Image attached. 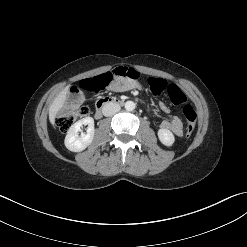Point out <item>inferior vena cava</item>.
<instances>
[{"instance_id":"inferior-vena-cava-1","label":"inferior vena cava","mask_w":247,"mask_h":247,"mask_svg":"<svg viewBox=\"0 0 247 247\" xmlns=\"http://www.w3.org/2000/svg\"><path fill=\"white\" fill-rule=\"evenodd\" d=\"M120 111V106L114 102L106 103L102 108V113L104 116H112Z\"/></svg>"}]
</instances>
